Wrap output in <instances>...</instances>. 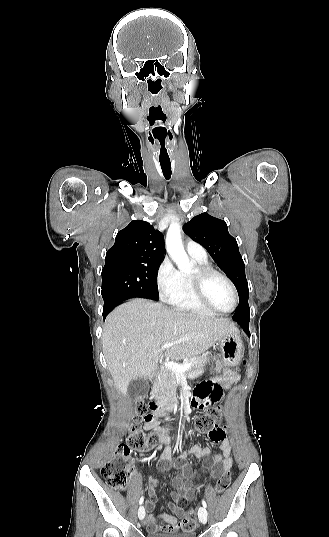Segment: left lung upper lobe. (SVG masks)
Instances as JSON below:
<instances>
[{
    "label": "left lung upper lobe",
    "instance_id": "5c2ea615",
    "mask_svg": "<svg viewBox=\"0 0 329 537\" xmlns=\"http://www.w3.org/2000/svg\"><path fill=\"white\" fill-rule=\"evenodd\" d=\"M184 230L191 239L200 243L210 253L234 283L239 295V305L233 319L240 321L250 317L245 265L236 239L229 234L225 221L212 217L208 213H202L186 223Z\"/></svg>",
    "mask_w": 329,
    "mask_h": 537
}]
</instances>
